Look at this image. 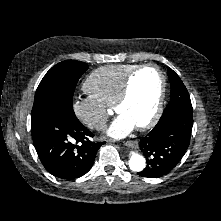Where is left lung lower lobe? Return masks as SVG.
Segmentation results:
<instances>
[{
  "instance_id": "1",
  "label": "left lung lower lobe",
  "mask_w": 221,
  "mask_h": 221,
  "mask_svg": "<svg viewBox=\"0 0 221 221\" xmlns=\"http://www.w3.org/2000/svg\"><path fill=\"white\" fill-rule=\"evenodd\" d=\"M192 113V106L186 105L164 110L156 126L139 143L147 166L138 175L158 178L176 166L189 146Z\"/></svg>"
}]
</instances>
